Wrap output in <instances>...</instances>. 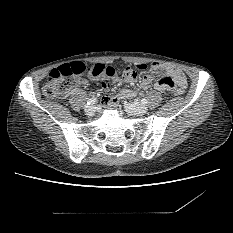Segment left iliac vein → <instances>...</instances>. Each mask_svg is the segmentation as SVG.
Listing matches in <instances>:
<instances>
[{
  "label": "left iliac vein",
  "mask_w": 233,
  "mask_h": 233,
  "mask_svg": "<svg viewBox=\"0 0 233 233\" xmlns=\"http://www.w3.org/2000/svg\"><path fill=\"white\" fill-rule=\"evenodd\" d=\"M125 108L131 115H143L148 111L147 107L143 104L127 103Z\"/></svg>",
  "instance_id": "obj_1"
}]
</instances>
